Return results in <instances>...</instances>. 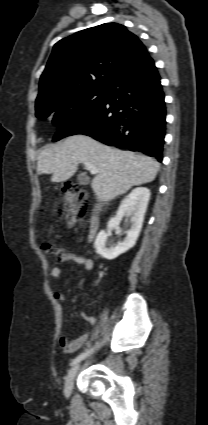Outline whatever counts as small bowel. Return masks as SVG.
<instances>
[{"instance_id": "obj_1", "label": "small bowel", "mask_w": 208, "mask_h": 425, "mask_svg": "<svg viewBox=\"0 0 208 425\" xmlns=\"http://www.w3.org/2000/svg\"><path fill=\"white\" fill-rule=\"evenodd\" d=\"M59 261L62 262V263L74 262V263L82 265L86 270H91L94 267V262L91 258H87V257L78 255V254L73 253V252L62 253L59 257ZM61 273H62V269L60 267H58V266L53 267L50 271V276L53 280H57L61 276ZM53 296L59 302H64V300H65V296L61 292L54 291ZM82 318L85 321L92 323V324H94L96 322V318L87 314V313H82ZM87 339H88L87 333L82 334V335L78 336L77 338H75L73 340H70L66 336H61L59 338V343H60L62 350L65 353H73L76 350H78L79 348H81L85 344Z\"/></svg>"}]
</instances>
